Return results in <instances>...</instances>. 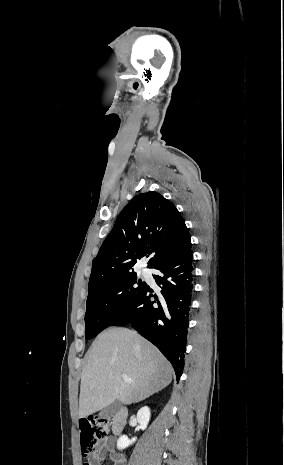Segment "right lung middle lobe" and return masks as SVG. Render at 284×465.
<instances>
[{"mask_svg":"<svg viewBox=\"0 0 284 465\" xmlns=\"http://www.w3.org/2000/svg\"><path fill=\"white\" fill-rule=\"evenodd\" d=\"M146 285L133 273L90 289L85 314L86 339L94 338L110 326Z\"/></svg>","mask_w":284,"mask_h":465,"instance_id":"obj_1","label":"right lung middle lobe"}]
</instances>
